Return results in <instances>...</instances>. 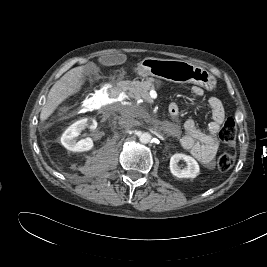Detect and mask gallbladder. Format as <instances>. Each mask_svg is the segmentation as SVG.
Masks as SVG:
<instances>
[{
	"mask_svg": "<svg viewBox=\"0 0 267 267\" xmlns=\"http://www.w3.org/2000/svg\"><path fill=\"white\" fill-rule=\"evenodd\" d=\"M122 59L124 60V57L122 55H117L115 57H106V56H103L100 58V62L101 64L103 65H111L115 62H118L119 59ZM87 70L90 72V73H94L95 72V65L93 63H88L87 66H86Z\"/></svg>",
	"mask_w": 267,
	"mask_h": 267,
	"instance_id": "bac80fb5",
	"label": "gallbladder"
}]
</instances>
